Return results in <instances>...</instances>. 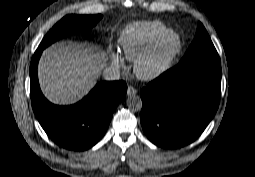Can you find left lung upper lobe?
<instances>
[{
	"label": "left lung upper lobe",
	"instance_id": "obj_1",
	"mask_svg": "<svg viewBox=\"0 0 255 177\" xmlns=\"http://www.w3.org/2000/svg\"><path fill=\"white\" fill-rule=\"evenodd\" d=\"M210 56L218 57V53L204 26L199 22L195 38L181 61Z\"/></svg>",
	"mask_w": 255,
	"mask_h": 177
}]
</instances>
